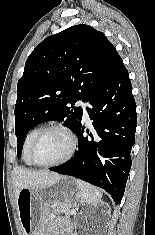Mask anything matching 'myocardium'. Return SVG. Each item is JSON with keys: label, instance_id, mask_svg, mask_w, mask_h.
<instances>
[{"label": "myocardium", "instance_id": "f54148a6", "mask_svg": "<svg viewBox=\"0 0 155 235\" xmlns=\"http://www.w3.org/2000/svg\"><path fill=\"white\" fill-rule=\"evenodd\" d=\"M54 130L61 131L68 137L69 142H70L69 151L65 155V157H63L61 160H58V161L52 162V163H39L34 158L35 147L45 134H47L50 131H54ZM77 146H78L77 136L70 127H68L62 123H53V124H50V125L42 128L41 131L36 135V137L34 138L33 142L30 145V148H29V159L33 165L38 166V167H44V168L57 167V166H60V165L67 163L68 161H70L73 158V156L77 150Z\"/></svg>", "mask_w": 155, "mask_h": 235}]
</instances>
